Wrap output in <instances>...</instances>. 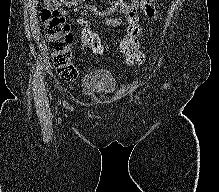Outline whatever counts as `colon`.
Here are the masks:
<instances>
[{"instance_id": "obj_1", "label": "colon", "mask_w": 219, "mask_h": 192, "mask_svg": "<svg viewBox=\"0 0 219 192\" xmlns=\"http://www.w3.org/2000/svg\"><path fill=\"white\" fill-rule=\"evenodd\" d=\"M41 20L49 41L53 64L59 77L68 81L74 80L78 71L72 61L70 50L72 34L69 26L58 10L49 5L41 10ZM91 44L95 52L104 51L102 43L92 40ZM120 52L130 64H138L142 61L143 55L139 50L137 33L127 34L122 39Z\"/></svg>"}]
</instances>
